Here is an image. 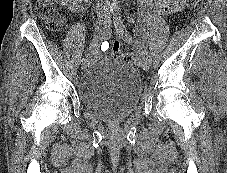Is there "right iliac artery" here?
Wrapping results in <instances>:
<instances>
[{"mask_svg": "<svg viewBox=\"0 0 227 173\" xmlns=\"http://www.w3.org/2000/svg\"><path fill=\"white\" fill-rule=\"evenodd\" d=\"M103 35H104L105 38H108L111 35L110 20L103 27ZM82 60H84V58H82Z\"/></svg>", "mask_w": 227, "mask_h": 173, "instance_id": "right-iliac-artery-1", "label": "right iliac artery"}]
</instances>
